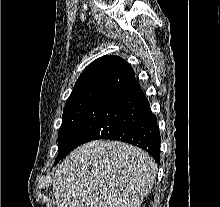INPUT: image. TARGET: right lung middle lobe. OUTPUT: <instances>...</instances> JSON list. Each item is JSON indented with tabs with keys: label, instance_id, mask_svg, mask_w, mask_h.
<instances>
[{
	"label": "right lung middle lobe",
	"instance_id": "1",
	"mask_svg": "<svg viewBox=\"0 0 220 207\" xmlns=\"http://www.w3.org/2000/svg\"><path fill=\"white\" fill-rule=\"evenodd\" d=\"M103 82H94L74 89L63 110L62 124L58 131V156L55 164L62 158L69 141L91 107Z\"/></svg>",
	"mask_w": 220,
	"mask_h": 207
}]
</instances>
